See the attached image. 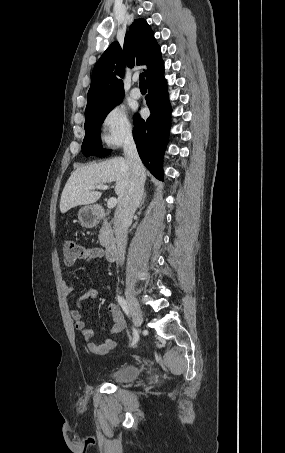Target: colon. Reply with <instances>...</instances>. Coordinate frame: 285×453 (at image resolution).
<instances>
[{
  "label": "colon",
  "mask_w": 285,
  "mask_h": 453,
  "mask_svg": "<svg viewBox=\"0 0 285 453\" xmlns=\"http://www.w3.org/2000/svg\"><path fill=\"white\" fill-rule=\"evenodd\" d=\"M64 260L67 264H73L82 256V247L73 240H66L63 244Z\"/></svg>",
  "instance_id": "colon-1"
}]
</instances>
